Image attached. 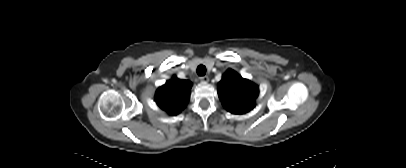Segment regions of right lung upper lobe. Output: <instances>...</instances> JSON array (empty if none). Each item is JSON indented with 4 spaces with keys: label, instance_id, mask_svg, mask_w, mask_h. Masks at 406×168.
Segmentation results:
<instances>
[{
    "label": "right lung upper lobe",
    "instance_id": "1",
    "mask_svg": "<svg viewBox=\"0 0 406 168\" xmlns=\"http://www.w3.org/2000/svg\"><path fill=\"white\" fill-rule=\"evenodd\" d=\"M192 83L173 77L159 87L155 100L158 106L170 115H177L187 105Z\"/></svg>",
    "mask_w": 406,
    "mask_h": 168
}]
</instances>
